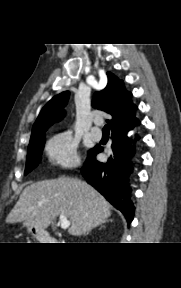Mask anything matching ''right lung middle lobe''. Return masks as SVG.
<instances>
[{
    "label": "right lung middle lobe",
    "instance_id": "1",
    "mask_svg": "<svg viewBox=\"0 0 181 288\" xmlns=\"http://www.w3.org/2000/svg\"><path fill=\"white\" fill-rule=\"evenodd\" d=\"M44 143V133L40 134L36 139L30 141L27 152L25 175L32 171L40 163Z\"/></svg>",
    "mask_w": 181,
    "mask_h": 288
}]
</instances>
